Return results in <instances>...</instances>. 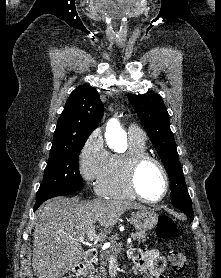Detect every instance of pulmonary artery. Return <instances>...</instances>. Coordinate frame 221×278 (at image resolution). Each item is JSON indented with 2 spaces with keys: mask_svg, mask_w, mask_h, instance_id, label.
Here are the masks:
<instances>
[{
  "mask_svg": "<svg viewBox=\"0 0 221 278\" xmlns=\"http://www.w3.org/2000/svg\"><path fill=\"white\" fill-rule=\"evenodd\" d=\"M128 133L130 136L145 139V134L142 130H140L137 126L135 125H130L128 128Z\"/></svg>",
  "mask_w": 221,
  "mask_h": 278,
  "instance_id": "1",
  "label": "pulmonary artery"
}]
</instances>
